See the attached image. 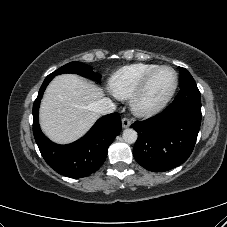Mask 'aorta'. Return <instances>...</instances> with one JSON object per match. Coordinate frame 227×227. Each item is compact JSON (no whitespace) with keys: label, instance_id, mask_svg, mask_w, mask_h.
Returning <instances> with one entry per match:
<instances>
[{"label":"aorta","instance_id":"obj_1","mask_svg":"<svg viewBox=\"0 0 227 227\" xmlns=\"http://www.w3.org/2000/svg\"><path fill=\"white\" fill-rule=\"evenodd\" d=\"M123 140L128 144H133L137 140V132L134 129L128 128L123 131Z\"/></svg>","mask_w":227,"mask_h":227}]
</instances>
